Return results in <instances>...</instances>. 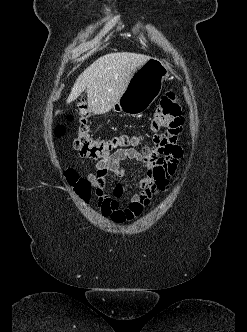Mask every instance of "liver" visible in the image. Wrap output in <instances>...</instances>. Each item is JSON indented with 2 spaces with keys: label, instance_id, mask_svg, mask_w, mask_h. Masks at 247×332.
<instances>
[{
  "label": "liver",
  "instance_id": "obj_1",
  "mask_svg": "<svg viewBox=\"0 0 247 332\" xmlns=\"http://www.w3.org/2000/svg\"><path fill=\"white\" fill-rule=\"evenodd\" d=\"M149 58L130 52L101 56L79 75L67 102L77 99L87 88L89 109L96 115L109 112L119 101L134 72Z\"/></svg>",
  "mask_w": 247,
  "mask_h": 332
}]
</instances>
